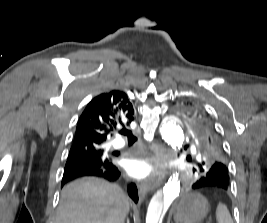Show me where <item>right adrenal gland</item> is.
Returning <instances> with one entry per match:
<instances>
[{"label":"right adrenal gland","instance_id":"obj_1","mask_svg":"<svg viewBox=\"0 0 267 223\" xmlns=\"http://www.w3.org/2000/svg\"><path fill=\"white\" fill-rule=\"evenodd\" d=\"M127 223H129V219H127Z\"/></svg>","mask_w":267,"mask_h":223}]
</instances>
